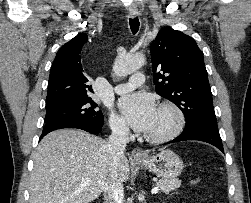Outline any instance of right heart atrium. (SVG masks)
<instances>
[{
	"label": "right heart atrium",
	"instance_id": "d8ad5b80",
	"mask_svg": "<svg viewBox=\"0 0 251 203\" xmlns=\"http://www.w3.org/2000/svg\"><path fill=\"white\" fill-rule=\"evenodd\" d=\"M109 124L112 132L118 136H125L128 133V127L120 116L111 114Z\"/></svg>",
	"mask_w": 251,
	"mask_h": 203
}]
</instances>
